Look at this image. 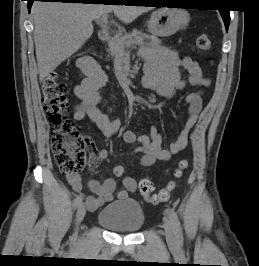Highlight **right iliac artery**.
<instances>
[{"label": "right iliac artery", "instance_id": "82829eb1", "mask_svg": "<svg viewBox=\"0 0 259 266\" xmlns=\"http://www.w3.org/2000/svg\"><path fill=\"white\" fill-rule=\"evenodd\" d=\"M83 203V195L77 196V198L74 200V209L80 207Z\"/></svg>", "mask_w": 259, "mask_h": 266}]
</instances>
